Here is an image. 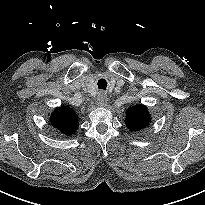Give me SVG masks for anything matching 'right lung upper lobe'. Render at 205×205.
<instances>
[{
	"label": "right lung upper lobe",
	"mask_w": 205,
	"mask_h": 205,
	"mask_svg": "<svg viewBox=\"0 0 205 205\" xmlns=\"http://www.w3.org/2000/svg\"><path fill=\"white\" fill-rule=\"evenodd\" d=\"M53 127L65 135H72L78 128V115L68 106L56 108L50 117Z\"/></svg>",
	"instance_id": "obj_1"
}]
</instances>
